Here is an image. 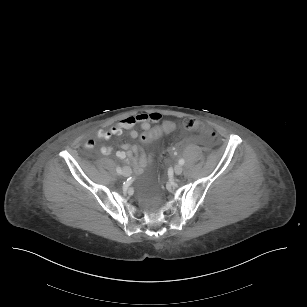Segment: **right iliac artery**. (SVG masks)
Returning a JSON list of instances; mask_svg holds the SVG:
<instances>
[{
  "instance_id": "right-iliac-artery-1",
  "label": "right iliac artery",
  "mask_w": 307,
  "mask_h": 307,
  "mask_svg": "<svg viewBox=\"0 0 307 307\" xmlns=\"http://www.w3.org/2000/svg\"><path fill=\"white\" fill-rule=\"evenodd\" d=\"M116 171H117V173L120 174V175L123 174V171H122V169H121L120 167H117V168H116Z\"/></svg>"
}]
</instances>
